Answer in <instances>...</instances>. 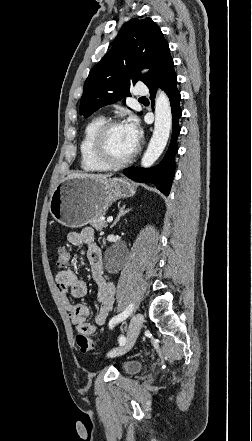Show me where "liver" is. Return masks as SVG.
<instances>
[{
	"instance_id": "6515ba94",
	"label": "liver",
	"mask_w": 252,
	"mask_h": 441,
	"mask_svg": "<svg viewBox=\"0 0 252 441\" xmlns=\"http://www.w3.org/2000/svg\"><path fill=\"white\" fill-rule=\"evenodd\" d=\"M111 175H103V174H87V173H72L67 176V178H93V179H107Z\"/></svg>"
}]
</instances>
